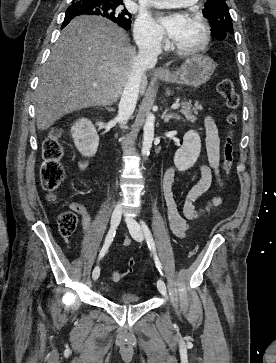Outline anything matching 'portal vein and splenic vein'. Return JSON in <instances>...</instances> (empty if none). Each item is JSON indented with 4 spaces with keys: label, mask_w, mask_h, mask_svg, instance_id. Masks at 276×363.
I'll return each instance as SVG.
<instances>
[{
    "label": "portal vein and splenic vein",
    "mask_w": 276,
    "mask_h": 363,
    "mask_svg": "<svg viewBox=\"0 0 276 363\" xmlns=\"http://www.w3.org/2000/svg\"><path fill=\"white\" fill-rule=\"evenodd\" d=\"M93 86L95 87V88H97L98 87V85L97 84H93ZM180 107V104L179 103H174L172 106H171V108L172 109H178Z\"/></svg>",
    "instance_id": "portal-vein-and-splenic-vein-1"
}]
</instances>
